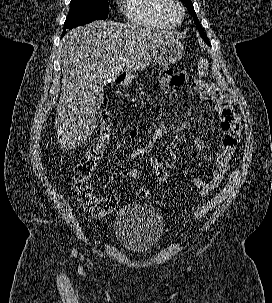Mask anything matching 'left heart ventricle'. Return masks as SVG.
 <instances>
[{
	"label": "left heart ventricle",
	"mask_w": 272,
	"mask_h": 303,
	"mask_svg": "<svg viewBox=\"0 0 272 303\" xmlns=\"http://www.w3.org/2000/svg\"><path fill=\"white\" fill-rule=\"evenodd\" d=\"M165 14L171 23H177L180 19V11L174 4H169L166 7Z\"/></svg>",
	"instance_id": "left-heart-ventricle-1"
}]
</instances>
